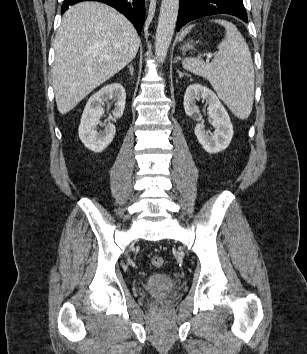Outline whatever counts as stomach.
Instances as JSON below:
<instances>
[{"instance_id":"1","label":"stomach","mask_w":307,"mask_h":354,"mask_svg":"<svg viewBox=\"0 0 307 354\" xmlns=\"http://www.w3.org/2000/svg\"><path fill=\"white\" fill-rule=\"evenodd\" d=\"M191 48H192V44H190V43H187L182 47L183 51H185L187 49H191Z\"/></svg>"}]
</instances>
